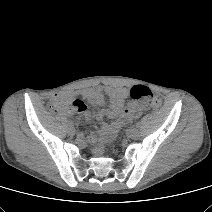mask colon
<instances>
[{
  "label": "colon",
  "mask_w": 212,
  "mask_h": 212,
  "mask_svg": "<svg viewBox=\"0 0 212 212\" xmlns=\"http://www.w3.org/2000/svg\"><path fill=\"white\" fill-rule=\"evenodd\" d=\"M130 98L133 100H144L150 103L154 107L161 106V100L154 96L150 89L143 85L133 86L128 92ZM52 109L56 112L67 111L70 109H75L77 111H83L86 107L81 100H70L56 98L52 104Z\"/></svg>",
  "instance_id": "colon-1"
}]
</instances>
